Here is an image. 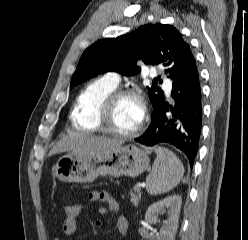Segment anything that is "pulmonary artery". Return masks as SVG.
<instances>
[{
	"label": "pulmonary artery",
	"instance_id": "obj_1",
	"mask_svg": "<svg viewBox=\"0 0 248 240\" xmlns=\"http://www.w3.org/2000/svg\"><path fill=\"white\" fill-rule=\"evenodd\" d=\"M105 79L112 85L114 86H118V84L120 83V78L119 76L114 73V72H111V73H108L105 77ZM165 90L167 93H170V90H171V87L169 86H166L165 87Z\"/></svg>",
	"mask_w": 248,
	"mask_h": 240
}]
</instances>
